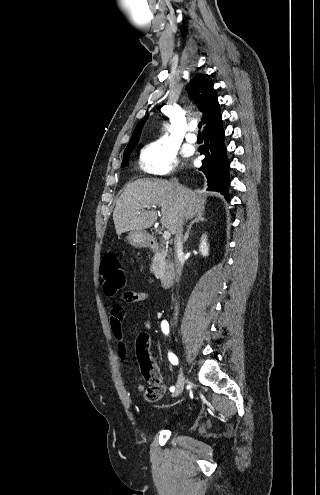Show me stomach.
<instances>
[{
	"instance_id": "obj_1",
	"label": "stomach",
	"mask_w": 320,
	"mask_h": 495,
	"mask_svg": "<svg viewBox=\"0 0 320 495\" xmlns=\"http://www.w3.org/2000/svg\"><path fill=\"white\" fill-rule=\"evenodd\" d=\"M127 240L134 247H145L150 242V235L145 230L129 231Z\"/></svg>"
}]
</instances>
